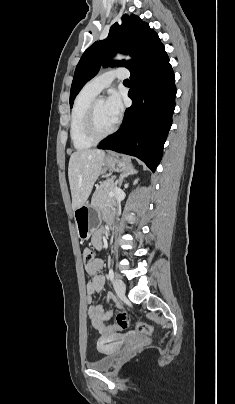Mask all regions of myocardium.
<instances>
[{"label": "myocardium", "instance_id": "1", "mask_svg": "<svg viewBox=\"0 0 235 404\" xmlns=\"http://www.w3.org/2000/svg\"><path fill=\"white\" fill-rule=\"evenodd\" d=\"M96 103L97 101H93L89 108H88V112H87V116H86V120H85V133L86 136L93 141L94 143L99 142L105 138H107L108 136H110L111 134L114 133V131L117 128V124L114 123V125L107 130L104 133H99L97 130V126H96Z\"/></svg>", "mask_w": 235, "mask_h": 404}]
</instances>
